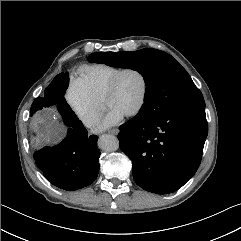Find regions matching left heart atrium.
I'll list each match as a JSON object with an SVG mask.
<instances>
[{
  "label": "left heart atrium",
  "instance_id": "1",
  "mask_svg": "<svg viewBox=\"0 0 241 241\" xmlns=\"http://www.w3.org/2000/svg\"><path fill=\"white\" fill-rule=\"evenodd\" d=\"M124 114L115 108H109L103 120L99 124L97 130H106L112 126L117 125L124 118Z\"/></svg>",
  "mask_w": 241,
  "mask_h": 241
}]
</instances>
